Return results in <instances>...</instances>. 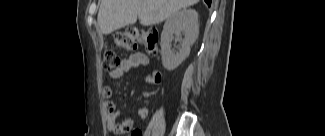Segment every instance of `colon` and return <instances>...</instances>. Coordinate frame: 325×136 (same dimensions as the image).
Segmentation results:
<instances>
[{
    "label": "colon",
    "mask_w": 325,
    "mask_h": 136,
    "mask_svg": "<svg viewBox=\"0 0 325 136\" xmlns=\"http://www.w3.org/2000/svg\"><path fill=\"white\" fill-rule=\"evenodd\" d=\"M158 42V33L153 28L128 27L117 32L114 36L115 45L127 51H135L139 46H143L148 53L155 54L158 49ZM119 62L120 59L114 50L105 51L102 62L104 70H113ZM130 136H142V134L139 130H134Z\"/></svg>",
    "instance_id": "obj_1"
}]
</instances>
